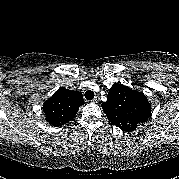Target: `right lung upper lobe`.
<instances>
[{"label": "right lung upper lobe", "instance_id": "obj_1", "mask_svg": "<svg viewBox=\"0 0 179 179\" xmlns=\"http://www.w3.org/2000/svg\"><path fill=\"white\" fill-rule=\"evenodd\" d=\"M83 104L81 92L62 87L44 102L42 109L49 124L58 127L71 121Z\"/></svg>", "mask_w": 179, "mask_h": 179}]
</instances>
